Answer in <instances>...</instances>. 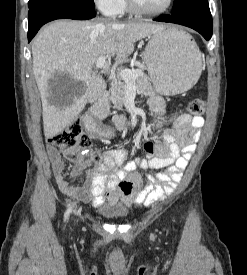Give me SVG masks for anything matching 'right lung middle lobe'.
<instances>
[{
  "mask_svg": "<svg viewBox=\"0 0 247 275\" xmlns=\"http://www.w3.org/2000/svg\"><path fill=\"white\" fill-rule=\"evenodd\" d=\"M63 3L69 6L94 9L95 4L93 0H29L28 7L34 8L41 5Z\"/></svg>",
  "mask_w": 247,
  "mask_h": 275,
  "instance_id": "dd1d6c3e",
  "label": "right lung middle lobe"
}]
</instances>
